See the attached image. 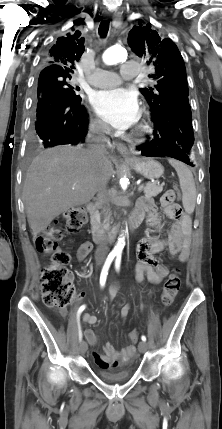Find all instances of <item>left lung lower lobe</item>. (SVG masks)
<instances>
[{
  "label": "left lung lower lobe",
  "mask_w": 222,
  "mask_h": 429,
  "mask_svg": "<svg viewBox=\"0 0 222 429\" xmlns=\"http://www.w3.org/2000/svg\"><path fill=\"white\" fill-rule=\"evenodd\" d=\"M154 138L138 147L147 157H171L190 166L191 149L194 143L192 113L189 101L168 102L156 114H151Z\"/></svg>",
  "instance_id": "left-lung-lower-lobe-1"
}]
</instances>
